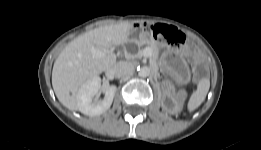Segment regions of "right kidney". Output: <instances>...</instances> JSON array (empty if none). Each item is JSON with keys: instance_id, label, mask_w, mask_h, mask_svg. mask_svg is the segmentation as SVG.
<instances>
[{"instance_id": "1", "label": "right kidney", "mask_w": 261, "mask_h": 150, "mask_svg": "<svg viewBox=\"0 0 261 150\" xmlns=\"http://www.w3.org/2000/svg\"><path fill=\"white\" fill-rule=\"evenodd\" d=\"M101 90V79L99 77L87 81L78 91L77 100L79 111L88 116H98L106 112L116 93V86L111 85L103 90L104 98L95 97Z\"/></svg>"}]
</instances>
